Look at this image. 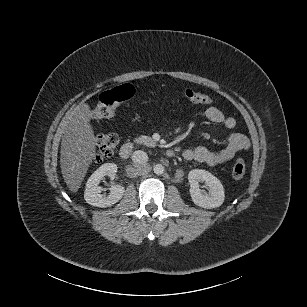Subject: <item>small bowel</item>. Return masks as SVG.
I'll return each mask as SVG.
<instances>
[{
	"instance_id": "1",
	"label": "small bowel",
	"mask_w": 307,
	"mask_h": 307,
	"mask_svg": "<svg viewBox=\"0 0 307 307\" xmlns=\"http://www.w3.org/2000/svg\"><path fill=\"white\" fill-rule=\"evenodd\" d=\"M206 118L218 125H223L227 129L236 127V120L233 117L225 116L217 107H208L205 111ZM249 139L241 133H232L229 136L226 146L219 151H211L205 146H196L194 148L185 149L182 153L186 160H194L205 163L209 166H216L231 160L239 151H245L249 148Z\"/></svg>"
}]
</instances>
